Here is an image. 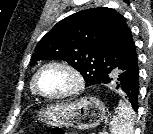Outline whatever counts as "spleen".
Wrapping results in <instances>:
<instances>
[{"label":"spleen","mask_w":153,"mask_h":134,"mask_svg":"<svg viewBox=\"0 0 153 134\" xmlns=\"http://www.w3.org/2000/svg\"><path fill=\"white\" fill-rule=\"evenodd\" d=\"M134 112L125 102L119 101L110 123L111 134H133Z\"/></svg>","instance_id":"3e777b00"}]
</instances>
